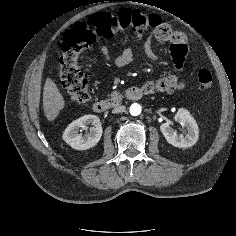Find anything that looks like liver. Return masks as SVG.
<instances>
[{"instance_id": "obj_1", "label": "liver", "mask_w": 236, "mask_h": 236, "mask_svg": "<svg viewBox=\"0 0 236 236\" xmlns=\"http://www.w3.org/2000/svg\"><path fill=\"white\" fill-rule=\"evenodd\" d=\"M65 107V100L57 85L47 78L43 90V108L48 121H54L59 112Z\"/></svg>"}]
</instances>
